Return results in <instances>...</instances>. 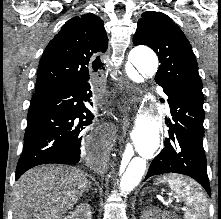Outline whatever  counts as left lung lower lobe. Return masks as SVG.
I'll return each instance as SVG.
<instances>
[{
	"label": "left lung lower lobe",
	"instance_id": "1",
	"mask_svg": "<svg viewBox=\"0 0 221 219\" xmlns=\"http://www.w3.org/2000/svg\"><path fill=\"white\" fill-rule=\"evenodd\" d=\"M165 93L173 123L169 121V138L151 162L145 180L158 174L180 173L194 178L211 196L203 151V104L174 92Z\"/></svg>",
	"mask_w": 221,
	"mask_h": 219
}]
</instances>
